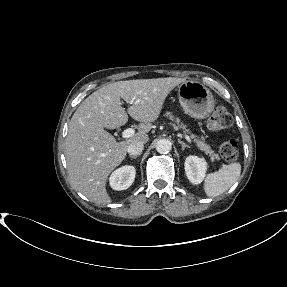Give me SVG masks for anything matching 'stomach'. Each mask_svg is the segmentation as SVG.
I'll list each match as a JSON object with an SVG mask.
<instances>
[{"mask_svg": "<svg viewBox=\"0 0 287 287\" xmlns=\"http://www.w3.org/2000/svg\"><path fill=\"white\" fill-rule=\"evenodd\" d=\"M179 102L186 114L195 119H205L214 110L211 91L197 81H185L177 86Z\"/></svg>", "mask_w": 287, "mask_h": 287, "instance_id": "obj_1", "label": "stomach"}]
</instances>
